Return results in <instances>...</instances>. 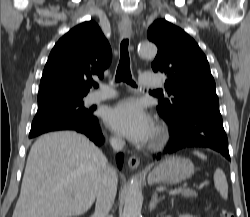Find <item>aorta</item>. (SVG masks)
<instances>
[{"label": "aorta", "mask_w": 250, "mask_h": 217, "mask_svg": "<svg viewBox=\"0 0 250 217\" xmlns=\"http://www.w3.org/2000/svg\"><path fill=\"white\" fill-rule=\"evenodd\" d=\"M138 52L142 57L154 58L157 48L154 44L145 42L140 44ZM142 202L141 182L138 179H132L125 197L122 217H142Z\"/></svg>", "instance_id": "obj_1"}]
</instances>
